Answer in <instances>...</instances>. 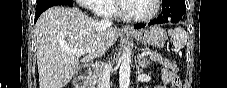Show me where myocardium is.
Here are the masks:
<instances>
[{
  "label": "myocardium",
  "instance_id": "f54148a6",
  "mask_svg": "<svg viewBox=\"0 0 227 88\" xmlns=\"http://www.w3.org/2000/svg\"><path fill=\"white\" fill-rule=\"evenodd\" d=\"M127 1H131V0H118L117 1V9H118V13L122 17H124V18H126V19H128L130 21H134V22H148V21L153 19L158 14L160 0H153L154 10L152 11V13H150L147 16H134V15L128 14L125 11V8H124V3L127 2Z\"/></svg>",
  "mask_w": 227,
  "mask_h": 88
}]
</instances>
